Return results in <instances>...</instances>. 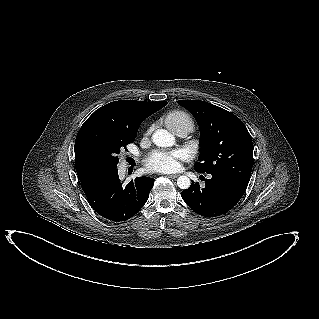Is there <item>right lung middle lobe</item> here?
I'll list each match as a JSON object with an SVG mask.
<instances>
[{
	"mask_svg": "<svg viewBox=\"0 0 319 319\" xmlns=\"http://www.w3.org/2000/svg\"><path fill=\"white\" fill-rule=\"evenodd\" d=\"M133 141L134 138L118 131L81 127L75 141V158L98 172L115 169L120 150Z\"/></svg>",
	"mask_w": 319,
	"mask_h": 319,
	"instance_id": "obj_1",
	"label": "right lung middle lobe"
}]
</instances>
